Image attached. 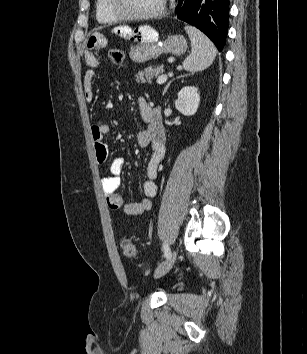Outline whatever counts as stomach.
<instances>
[{"label": "stomach", "instance_id": "stomach-1", "mask_svg": "<svg viewBox=\"0 0 307 354\" xmlns=\"http://www.w3.org/2000/svg\"><path fill=\"white\" fill-rule=\"evenodd\" d=\"M134 30V38H129L135 43L129 53L134 62L144 63L163 53L181 55L187 49L186 40L181 35H170L158 44V33L152 27L144 25Z\"/></svg>", "mask_w": 307, "mask_h": 354}]
</instances>
